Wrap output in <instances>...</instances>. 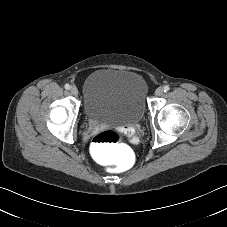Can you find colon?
Returning a JSON list of instances; mask_svg holds the SVG:
<instances>
[{"label":"colon","mask_w":227,"mask_h":227,"mask_svg":"<svg viewBox=\"0 0 227 227\" xmlns=\"http://www.w3.org/2000/svg\"><path fill=\"white\" fill-rule=\"evenodd\" d=\"M91 146L101 164L116 173L128 171L130 151L121 134L111 130L102 131L93 138Z\"/></svg>","instance_id":"obj_1"}]
</instances>
